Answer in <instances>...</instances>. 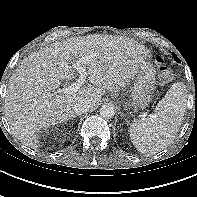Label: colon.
<instances>
[{
  "mask_svg": "<svg viewBox=\"0 0 197 197\" xmlns=\"http://www.w3.org/2000/svg\"><path fill=\"white\" fill-rule=\"evenodd\" d=\"M158 77L163 83L169 82L172 79L171 70L165 65L164 59L161 56L156 57Z\"/></svg>",
  "mask_w": 197,
  "mask_h": 197,
  "instance_id": "obj_1",
  "label": "colon"
}]
</instances>
